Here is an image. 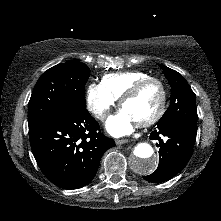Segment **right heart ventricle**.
<instances>
[{
	"label": "right heart ventricle",
	"mask_w": 221,
	"mask_h": 221,
	"mask_svg": "<svg viewBox=\"0 0 221 221\" xmlns=\"http://www.w3.org/2000/svg\"><path fill=\"white\" fill-rule=\"evenodd\" d=\"M143 71H124L106 74L102 77V85L117 100L120 99L134 84L149 77Z\"/></svg>",
	"instance_id": "right-heart-ventricle-1"
}]
</instances>
